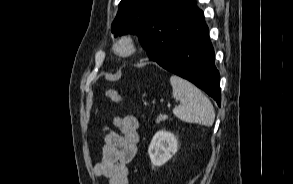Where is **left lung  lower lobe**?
I'll use <instances>...</instances> for the list:
<instances>
[{
	"instance_id": "left-lung-lower-lobe-1",
	"label": "left lung lower lobe",
	"mask_w": 293,
	"mask_h": 184,
	"mask_svg": "<svg viewBox=\"0 0 293 184\" xmlns=\"http://www.w3.org/2000/svg\"><path fill=\"white\" fill-rule=\"evenodd\" d=\"M155 48L158 53L150 57L153 61L194 83L220 106V79L214 64V50L204 14L195 0H183Z\"/></svg>"
}]
</instances>
